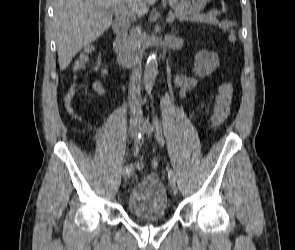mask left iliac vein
<instances>
[{"label": "left iliac vein", "mask_w": 295, "mask_h": 250, "mask_svg": "<svg viewBox=\"0 0 295 250\" xmlns=\"http://www.w3.org/2000/svg\"><path fill=\"white\" fill-rule=\"evenodd\" d=\"M141 131L146 133L148 137H151L152 134L154 133V127L149 123V121H145L141 125ZM170 186H171L172 192L176 195L178 193V188L176 183H171Z\"/></svg>", "instance_id": "4c4485c4"}]
</instances>
